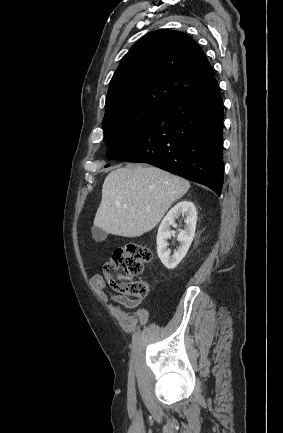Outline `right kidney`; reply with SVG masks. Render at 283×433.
Here are the masks:
<instances>
[{
	"mask_svg": "<svg viewBox=\"0 0 283 433\" xmlns=\"http://www.w3.org/2000/svg\"><path fill=\"white\" fill-rule=\"evenodd\" d=\"M180 216L184 218L185 228L179 232L177 237L180 242L179 247L173 255H170L167 249V239L173 234L170 227ZM196 223V207L192 202L186 200L177 203L162 220L157 233V254L167 269H174L185 257L195 235Z\"/></svg>",
	"mask_w": 283,
	"mask_h": 433,
	"instance_id": "ca27d5eb",
	"label": "right kidney"
}]
</instances>
